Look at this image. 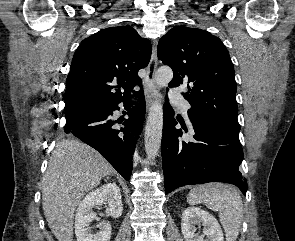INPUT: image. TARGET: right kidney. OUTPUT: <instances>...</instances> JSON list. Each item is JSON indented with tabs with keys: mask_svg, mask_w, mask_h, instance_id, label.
I'll list each match as a JSON object with an SVG mask.
<instances>
[{
	"mask_svg": "<svg viewBox=\"0 0 295 241\" xmlns=\"http://www.w3.org/2000/svg\"><path fill=\"white\" fill-rule=\"evenodd\" d=\"M108 204V215L119 218L122 215L123 205L119 187L115 183H107L102 187L89 192L79 203L75 216V234L77 241H110L111 224L101 222L97 225L99 231L93 233L90 223L96 218L93 208Z\"/></svg>",
	"mask_w": 295,
	"mask_h": 241,
	"instance_id": "1",
	"label": "right kidney"
}]
</instances>
